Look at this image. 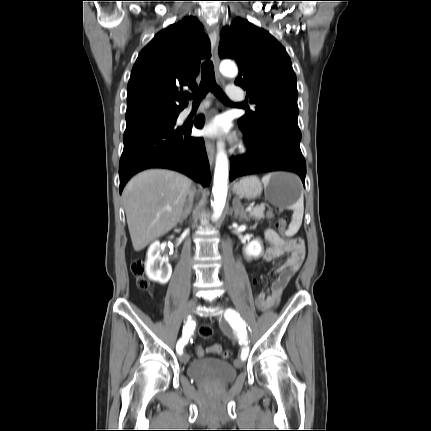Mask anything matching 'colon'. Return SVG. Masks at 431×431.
<instances>
[{
    "label": "colon",
    "mask_w": 431,
    "mask_h": 431,
    "mask_svg": "<svg viewBox=\"0 0 431 431\" xmlns=\"http://www.w3.org/2000/svg\"><path fill=\"white\" fill-rule=\"evenodd\" d=\"M267 215L269 218L275 217V213L273 211H269ZM286 225H287L286 219H277L276 218V227L279 230V232L281 233V237L285 236ZM131 272L137 278V286L140 289L146 290L149 288V281L145 277V264L142 260L136 259L132 262ZM251 298H252V305H254V307H257V312H260L261 311V305H259V303H260L259 298L255 294L252 295ZM199 335L203 339L211 338L213 335L212 327L209 324H202L199 327ZM193 348L196 350L195 351L196 352V359H198V360L203 359V357H204L203 345L200 342H196L193 345ZM230 353L231 352L229 350L224 351L222 353V356L226 358L229 356Z\"/></svg>",
    "instance_id": "obj_1"
}]
</instances>
